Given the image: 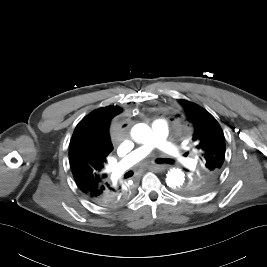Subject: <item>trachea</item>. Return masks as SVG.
<instances>
[{
    "label": "trachea",
    "mask_w": 267,
    "mask_h": 267,
    "mask_svg": "<svg viewBox=\"0 0 267 267\" xmlns=\"http://www.w3.org/2000/svg\"><path fill=\"white\" fill-rule=\"evenodd\" d=\"M156 162L159 163V164H161V163L173 164L174 163L173 160H171V159H164V158L163 159H157Z\"/></svg>",
    "instance_id": "3493384b"
}]
</instances>
